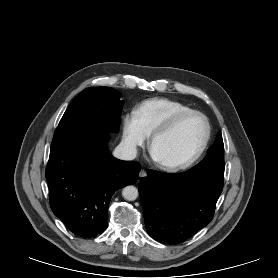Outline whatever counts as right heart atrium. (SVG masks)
<instances>
[{
	"label": "right heart atrium",
	"instance_id": "1",
	"mask_svg": "<svg viewBox=\"0 0 278 278\" xmlns=\"http://www.w3.org/2000/svg\"><path fill=\"white\" fill-rule=\"evenodd\" d=\"M149 134L144 129L135 111L122 117V142L130 152H136L148 140Z\"/></svg>",
	"mask_w": 278,
	"mask_h": 278
}]
</instances>
